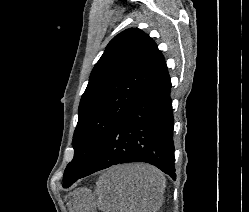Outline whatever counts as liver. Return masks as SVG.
I'll list each match as a JSON object with an SVG mask.
<instances>
[{
  "mask_svg": "<svg viewBox=\"0 0 249 212\" xmlns=\"http://www.w3.org/2000/svg\"><path fill=\"white\" fill-rule=\"evenodd\" d=\"M101 212H158L165 178L149 164L112 166L97 184Z\"/></svg>",
  "mask_w": 249,
  "mask_h": 212,
  "instance_id": "liver-1",
  "label": "liver"
}]
</instances>
